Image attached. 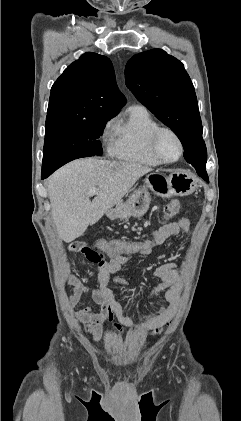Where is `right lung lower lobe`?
Returning a JSON list of instances; mask_svg holds the SVG:
<instances>
[{
  "label": "right lung lower lobe",
  "mask_w": 241,
  "mask_h": 421,
  "mask_svg": "<svg viewBox=\"0 0 241 421\" xmlns=\"http://www.w3.org/2000/svg\"><path fill=\"white\" fill-rule=\"evenodd\" d=\"M56 170V168H50V169H42V175L41 178H47L50 174H52L54 171Z\"/></svg>",
  "instance_id": "98d812e1"
}]
</instances>
